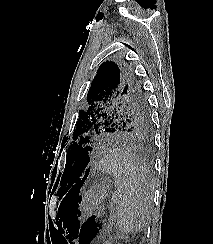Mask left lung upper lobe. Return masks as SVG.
<instances>
[{
    "mask_svg": "<svg viewBox=\"0 0 213 244\" xmlns=\"http://www.w3.org/2000/svg\"><path fill=\"white\" fill-rule=\"evenodd\" d=\"M88 109L79 111L73 138L77 142L69 147L66 166L59 191L67 192L80 180L90 161L91 132L122 133L136 138H150L152 121L149 104L140 81L129 66L118 67L111 61L98 69L87 94Z\"/></svg>",
    "mask_w": 213,
    "mask_h": 244,
    "instance_id": "left-lung-upper-lobe-1",
    "label": "left lung upper lobe"
}]
</instances>
